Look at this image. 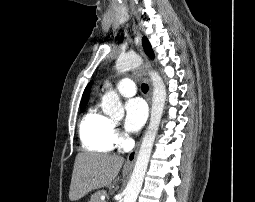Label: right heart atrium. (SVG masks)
I'll return each instance as SVG.
<instances>
[{
	"label": "right heart atrium",
	"instance_id": "1",
	"mask_svg": "<svg viewBox=\"0 0 255 202\" xmlns=\"http://www.w3.org/2000/svg\"><path fill=\"white\" fill-rule=\"evenodd\" d=\"M114 139L116 142H121L122 141V136L120 132L117 129H114Z\"/></svg>",
	"mask_w": 255,
	"mask_h": 202
}]
</instances>
